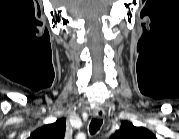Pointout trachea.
<instances>
[{
	"instance_id": "obj_1",
	"label": "trachea",
	"mask_w": 179,
	"mask_h": 139,
	"mask_svg": "<svg viewBox=\"0 0 179 139\" xmlns=\"http://www.w3.org/2000/svg\"><path fill=\"white\" fill-rule=\"evenodd\" d=\"M102 125V120L101 119H92L91 123L89 125V132L91 135L95 134L101 127Z\"/></svg>"
}]
</instances>
